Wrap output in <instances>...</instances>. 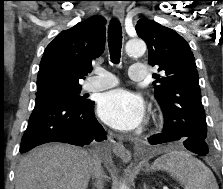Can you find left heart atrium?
Listing matches in <instances>:
<instances>
[{"instance_id":"39dd6f15","label":"left heart atrium","mask_w":223,"mask_h":189,"mask_svg":"<svg viewBox=\"0 0 223 189\" xmlns=\"http://www.w3.org/2000/svg\"><path fill=\"white\" fill-rule=\"evenodd\" d=\"M97 112L108 125L122 131L137 128L145 113L143 99L125 89H115L101 95Z\"/></svg>"}]
</instances>
